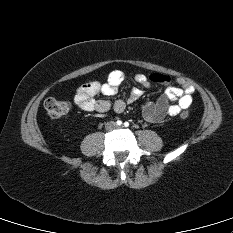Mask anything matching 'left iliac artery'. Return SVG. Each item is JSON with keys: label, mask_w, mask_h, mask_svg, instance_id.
Listing matches in <instances>:
<instances>
[{"label": "left iliac artery", "mask_w": 233, "mask_h": 233, "mask_svg": "<svg viewBox=\"0 0 233 233\" xmlns=\"http://www.w3.org/2000/svg\"><path fill=\"white\" fill-rule=\"evenodd\" d=\"M124 126H125V127H128V126H129V123H128V122H125V123H124Z\"/></svg>", "instance_id": "44dca946"}]
</instances>
